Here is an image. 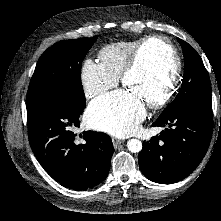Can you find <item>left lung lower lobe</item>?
<instances>
[{
	"mask_svg": "<svg viewBox=\"0 0 221 221\" xmlns=\"http://www.w3.org/2000/svg\"><path fill=\"white\" fill-rule=\"evenodd\" d=\"M212 105L197 103L160 117L153 127H164L160 136L143 143L139 167L149 180L171 184L186 178L208 149L212 130Z\"/></svg>",
	"mask_w": 221,
	"mask_h": 221,
	"instance_id": "0a47b994",
	"label": "left lung lower lobe"
}]
</instances>
